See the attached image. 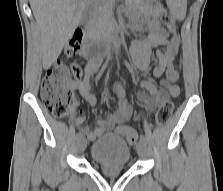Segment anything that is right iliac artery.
<instances>
[{
	"label": "right iliac artery",
	"instance_id": "obj_1",
	"mask_svg": "<svg viewBox=\"0 0 223 191\" xmlns=\"http://www.w3.org/2000/svg\"><path fill=\"white\" fill-rule=\"evenodd\" d=\"M76 137L79 139V138H81L82 137V133H78L77 135H76Z\"/></svg>",
	"mask_w": 223,
	"mask_h": 191
}]
</instances>
